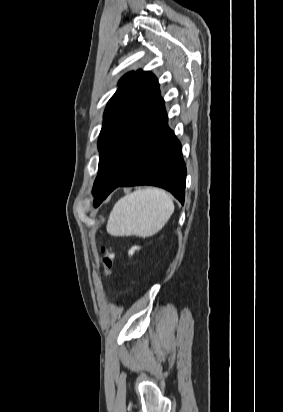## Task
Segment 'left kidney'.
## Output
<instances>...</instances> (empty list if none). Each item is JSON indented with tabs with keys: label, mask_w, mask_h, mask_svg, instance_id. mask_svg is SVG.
I'll list each match as a JSON object with an SVG mask.
<instances>
[{
	"label": "left kidney",
	"mask_w": 283,
	"mask_h": 412,
	"mask_svg": "<svg viewBox=\"0 0 283 412\" xmlns=\"http://www.w3.org/2000/svg\"><path fill=\"white\" fill-rule=\"evenodd\" d=\"M140 248L138 246H134L129 250V255H133V253L135 252V250H139Z\"/></svg>",
	"instance_id": "1"
}]
</instances>
